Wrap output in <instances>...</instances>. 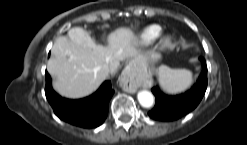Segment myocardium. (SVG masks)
I'll return each mask as SVG.
<instances>
[{"mask_svg":"<svg viewBox=\"0 0 247 145\" xmlns=\"http://www.w3.org/2000/svg\"><path fill=\"white\" fill-rule=\"evenodd\" d=\"M173 42V37L171 34H162L160 36V46L161 48H168Z\"/></svg>","mask_w":247,"mask_h":145,"instance_id":"f54148a6","label":"myocardium"}]
</instances>
